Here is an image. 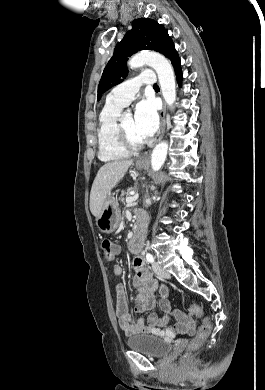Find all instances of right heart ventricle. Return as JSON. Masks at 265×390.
I'll list each match as a JSON object with an SVG mask.
<instances>
[{"label": "right heart ventricle", "mask_w": 265, "mask_h": 390, "mask_svg": "<svg viewBox=\"0 0 265 390\" xmlns=\"http://www.w3.org/2000/svg\"><path fill=\"white\" fill-rule=\"evenodd\" d=\"M122 106L106 102L99 115L97 130L98 157L104 162L120 161L129 156L117 136V123Z\"/></svg>", "instance_id": "right-heart-ventricle-1"}]
</instances>
